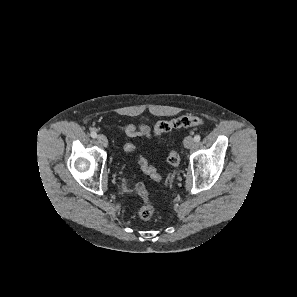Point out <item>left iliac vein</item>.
Instances as JSON below:
<instances>
[{"label": "left iliac vein", "mask_w": 297, "mask_h": 297, "mask_svg": "<svg viewBox=\"0 0 297 297\" xmlns=\"http://www.w3.org/2000/svg\"><path fill=\"white\" fill-rule=\"evenodd\" d=\"M184 147L189 149L194 145V139L191 136H187L184 139Z\"/></svg>", "instance_id": "left-iliac-vein-1"}]
</instances>
